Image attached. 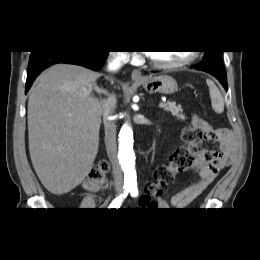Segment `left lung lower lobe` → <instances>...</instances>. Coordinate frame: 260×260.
<instances>
[{
	"instance_id": "0a47b994",
	"label": "left lung lower lobe",
	"mask_w": 260,
	"mask_h": 260,
	"mask_svg": "<svg viewBox=\"0 0 260 260\" xmlns=\"http://www.w3.org/2000/svg\"><path fill=\"white\" fill-rule=\"evenodd\" d=\"M191 67L213 75L219 80L225 90L228 89L226 71L221 59L209 58Z\"/></svg>"
}]
</instances>
